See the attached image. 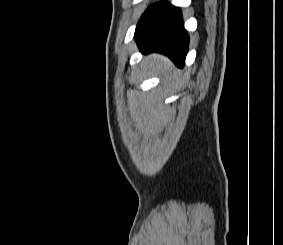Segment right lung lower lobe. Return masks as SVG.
Wrapping results in <instances>:
<instances>
[{
  "label": "right lung lower lobe",
  "instance_id": "obj_1",
  "mask_svg": "<svg viewBox=\"0 0 283 245\" xmlns=\"http://www.w3.org/2000/svg\"><path fill=\"white\" fill-rule=\"evenodd\" d=\"M134 37L142 53L161 52L177 66H184L189 37L179 8L165 2L152 5L139 21Z\"/></svg>",
  "mask_w": 283,
  "mask_h": 245
}]
</instances>
